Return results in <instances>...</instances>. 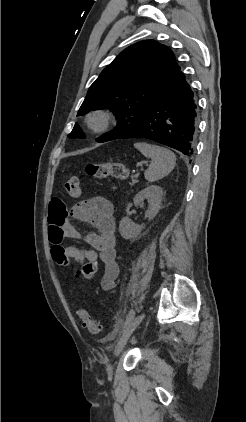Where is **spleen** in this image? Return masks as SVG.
I'll return each instance as SVG.
<instances>
[{
	"mask_svg": "<svg viewBox=\"0 0 246 422\" xmlns=\"http://www.w3.org/2000/svg\"><path fill=\"white\" fill-rule=\"evenodd\" d=\"M134 147L145 157L151 159V163L144 173L148 182H155L167 176L176 164L175 154L165 147L148 143H135Z\"/></svg>",
	"mask_w": 246,
	"mask_h": 422,
	"instance_id": "obj_1",
	"label": "spleen"
}]
</instances>
